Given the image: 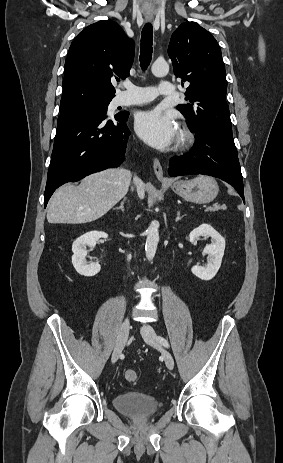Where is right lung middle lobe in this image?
Returning <instances> with one entry per match:
<instances>
[{"instance_id":"dd1d6c3e","label":"right lung middle lobe","mask_w":283,"mask_h":463,"mask_svg":"<svg viewBox=\"0 0 283 463\" xmlns=\"http://www.w3.org/2000/svg\"><path fill=\"white\" fill-rule=\"evenodd\" d=\"M110 101L111 99L94 100V101H89V102L80 104L78 106L60 110V116L58 118V121L64 120L66 118L72 117L80 113L94 111V110H100L102 112H107V107Z\"/></svg>"}]
</instances>
